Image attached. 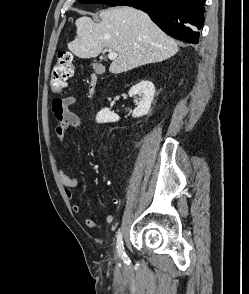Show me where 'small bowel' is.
I'll list each match as a JSON object with an SVG mask.
<instances>
[{"mask_svg": "<svg viewBox=\"0 0 249 294\" xmlns=\"http://www.w3.org/2000/svg\"><path fill=\"white\" fill-rule=\"evenodd\" d=\"M76 98L74 95H68L63 98L55 99L52 102V109L55 119L58 124L56 127V136L60 142V146L63 145V139L65 133L68 130L79 133L82 130V122L80 117L69 110V108L74 105ZM61 151L59 152V156ZM59 178L64 186V192L68 200L71 202V208L73 212L80 213L81 206L74 201V189L78 185V180L66 174L63 169H59ZM114 221V214L109 212L105 217V223L107 225L112 224ZM85 224L90 229H99L102 227L101 224L96 222L93 218H87Z\"/></svg>", "mask_w": 249, "mask_h": 294, "instance_id": "1", "label": "small bowel"}]
</instances>
